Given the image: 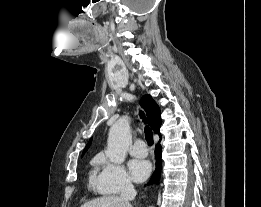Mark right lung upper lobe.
Returning <instances> with one entry per match:
<instances>
[{
  "label": "right lung upper lobe",
  "mask_w": 261,
  "mask_h": 207,
  "mask_svg": "<svg viewBox=\"0 0 261 207\" xmlns=\"http://www.w3.org/2000/svg\"><path fill=\"white\" fill-rule=\"evenodd\" d=\"M140 104L142 105V107L144 108V110L147 114L148 121H149V124H150L152 130L161 137L160 126H161L162 120L160 118V109H159L158 105L152 99V97L150 95H144L140 100ZM90 144H91V140L86 145V147L83 151V154L87 151Z\"/></svg>",
  "instance_id": "cb5924a9"
}]
</instances>
